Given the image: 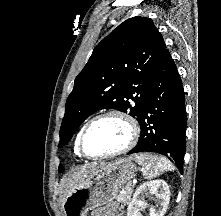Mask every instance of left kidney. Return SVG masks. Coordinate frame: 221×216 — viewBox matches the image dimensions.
I'll return each mask as SVG.
<instances>
[{
	"instance_id": "5707ae66",
	"label": "left kidney",
	"mask_w": 221,
	"mask_h": 216,
	"mask_svg": "<svg viewBox=\"0 0 221 216\" xmlns=\"http://www.w3.org/2000/svg\"><path fill=\"white\" fill-rule=\"evenodd\" d=\"M155 195L156 205L150 210V216H164L170 201L168 184L161 179L143 183L134 193L127 208V216H139V208L144 205L145 197Z\"/></svg>"
}]
</instances>
